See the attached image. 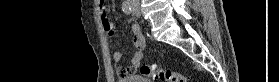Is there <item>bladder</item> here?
Masks as SVG:
<instances>
[{
	"label": "bladder",
	"instance_id": "obj_1",
	"mask_svg": "<svg viewBox=\"0 0 279 82\" xmlns=\"http://www.w3.org/2000/svg\"><path fill=\"white\" fill-rule=\"evenodd\" d=\"M118 82H152V81L147 79L142 74H134L126 77H121L118 79Z\"/></svg>",
	"mask_w": 279,
	"mask_h": 82
}]
</instances>
